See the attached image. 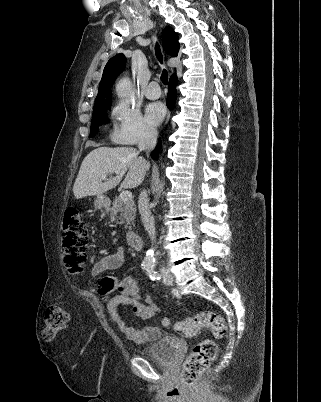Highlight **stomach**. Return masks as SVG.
<instances>
[{"label": "stomach", "mask_w": 321, "mask_h": 402, "mask_svg": "<svg viewBox=\"0 0 321 402\" xmlns=\"http://www.w3.org/2000/svg\"><path fill=\"white\" fill-rule=\"evenodd\" d=\"M108 204V199L104 195H99L94 201V206L96 209H102Z\"/></svg>", "instance_id": "stomach-1"}]
</instances>
